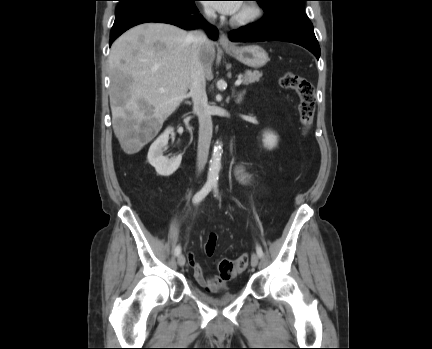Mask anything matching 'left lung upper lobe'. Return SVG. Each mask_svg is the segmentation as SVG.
<instances>
[{
    "instance_id": "left-lung-upper-lobe-1",
    "label": "left lung upper lobe",
    "mask_w": 432,
    "mask_h": 349,
    "mask_svg": "<svg viewBox=\"0 0 432 349\" xmlns=\"http://www.w3.org/2000/svg\"><path fill=\"white\" fill-rule=\"evenodd\" d=\"M258 1L265 11L272 8H281L285 10H297L304 12V1L307 0H255Z\"/></svg>"
}]
</instances>
